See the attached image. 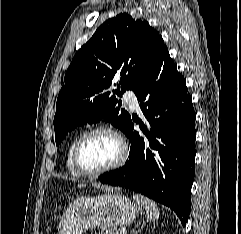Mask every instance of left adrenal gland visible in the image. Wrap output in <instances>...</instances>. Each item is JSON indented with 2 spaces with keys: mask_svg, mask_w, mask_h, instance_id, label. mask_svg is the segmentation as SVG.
Returning a JSON list of instances; mask_svg holds the SVG:
<instances>
[{
  "mask_svg": "<svg viewBox=\"0 0 241 234\" xmlns=\"http://www.w3.org/2000/svg\"><path fill=\"white\" fill-rule=\"evenodd\" d=\"M137 232H138L137 230H134V234H137Z\"/></svg>",
  "mask_w": 241,
  "mask_h": 234,
  "instance_id": "a2214340",
  "label": "left adrenal gland"
}]
</instances>
